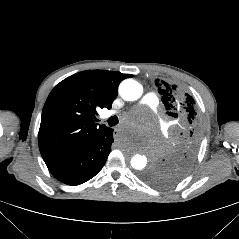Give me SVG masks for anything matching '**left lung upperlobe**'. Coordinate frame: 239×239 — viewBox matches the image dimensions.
I'll list each match as a JSON object with an SVG mask.
<instances>
[{"label":"left lung upper lobe","mask_w":239,"mask_h":239,"mask_svg":"<svg viewBox=\"0 0 239 239\" xmlns=\"http://www.w3.org/2000/svg\"><path fill=\"white\" fill-rule=\"evenodd\" d=\"M168 119L173 121L172 148L156 166L143 174V179L157 187H168L180 181L192 167L201 136V122L197 105L188 93L176 85L156 79Z\"/></svg>","instance_id":"5c2ea615"}]
</instances>
